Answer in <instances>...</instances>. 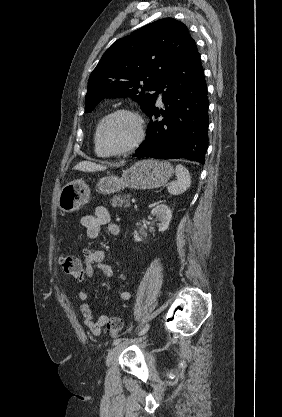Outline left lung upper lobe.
<instances>
[{
    "label": "left lung upper lobe",
    "mask_w": 282,
    "mask_h": 417,
    "mask_svg": "<svg viewBox=\"0 0 282 417\" xmlns=\"http://www.w3.org/2000/svg\"><path fill=\"white\" fill-rule=\"evenodd\" d=\"M194 42L187 27L164 18L117 40L103 54L88 81L85 110L104 98L130 96L147 114L174 61Z\"/></svg>",
    "instance_id": "5c2ea615"
}]
</instances>
